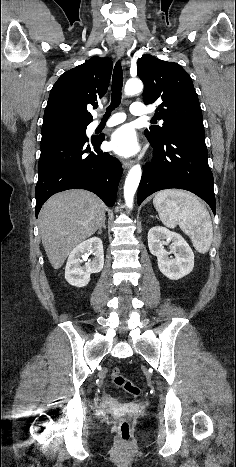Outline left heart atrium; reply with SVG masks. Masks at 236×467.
<instances>
[{
	"mask_svg": "<svg viewBox=\"0 0 236 467\" xmlns=\"http://www.w3.org/2000/svg\"><path fill=\"white\" fill-rule=\"evenodd\" d=\"M111 149L121 156H131L139 150L138 139L135 131L129 125L116 129L110 140Z\"/></svg>",
	"mask_w": 236,
	"mask_h": 467,
	"instance_id": "39dd6f15",
	"label": "left heart atrium"
}]
</instances>
